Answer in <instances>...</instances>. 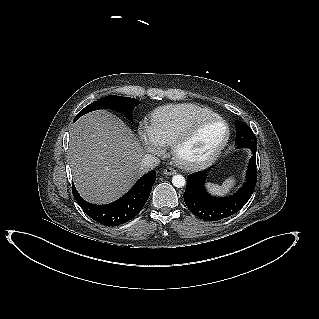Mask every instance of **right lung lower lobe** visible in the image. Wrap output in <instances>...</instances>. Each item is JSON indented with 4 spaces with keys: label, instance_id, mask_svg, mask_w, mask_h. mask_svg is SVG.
Returning <instances> with one entry per match:
<instances>
[{
    "label": "right lung lower lobe",
    "instance_id": "obj_1",
    "mask_svg": "<svg viewBox=\"0 0 319 319\" xmlns=\"http://www.w3.org/2000/svg\"><path fill=\"white\" fill-rule=\"evenodd\" d=\"M155 180L156 172H149L123 197L107 205H95L83 200L74 186L72 192L77 203L93 220L106 226H118L132 220L142 210Z\"/></svg>",
    "mask_w": 319,
    "mask_h": 319
}]
</instances>
